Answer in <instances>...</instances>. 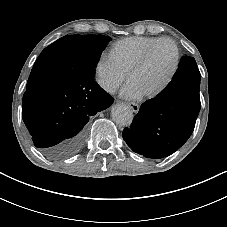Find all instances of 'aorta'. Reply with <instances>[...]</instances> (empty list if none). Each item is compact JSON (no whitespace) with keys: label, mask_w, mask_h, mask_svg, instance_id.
Returning a JSON list of instances; mask_svg holds the SVG:
<instances>
[{"label":"aorta","mask_w":227,"mask_h":227,"mask_svg":"<svg viewBox=\"0 0 227 227\" xmlns=\"http://www.w3.org/2000/svg\"><path fill=\"white\" fill-rule=\"evenodd\" d=\"M111 116L116 124L121 126H127L132 123L133 112L131 108L124 104H118L112 107Z\"/></svg>","instance_id":"762f6f07"}]
</instances>
